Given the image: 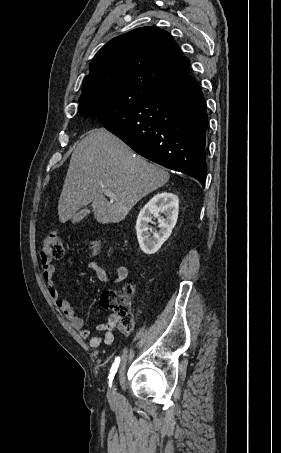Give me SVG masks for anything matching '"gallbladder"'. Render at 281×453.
<instances>
[{"instance_id":"bac80fb5","label":"gallbladder","mask_w":281,"mask_h":453,"mask_svg":"<svg viewBox=\"0 0 281 453\" xmlns=\"http://www.w3.org/2000/svg\"><path fill=\"white\" fill-rule=\"evenodd\" d=\"M89 210H87V208H83V210H80V212H78V214H75V216H73V224L75 225L77 222H79V220H82V218H84V216H86V214H88Z\"/></svg>"}]
</instances>
